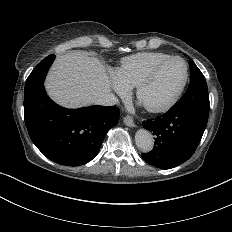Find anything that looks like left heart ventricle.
Returning a JSON list of instances; mask_svg holds the SVG:
<instances>
[{
    "instance_id": "left-heart-ventricle-1",
    "label": "left heart ventricle",
    "mask_w": 232,
    "mask_h": 232,
    "mask_svg": "<svg viewBox=\"0 0 232 232\" xmlns=\"http://www.w3.org/2000/svg\"><path fill=\"white\" fill-rule=\"evenodd\" d=\"M185 77V66L172 61L161 68L140 90L137 102L143 108L158 107L179 89Z\"/></svg>"
}]
</instances>
